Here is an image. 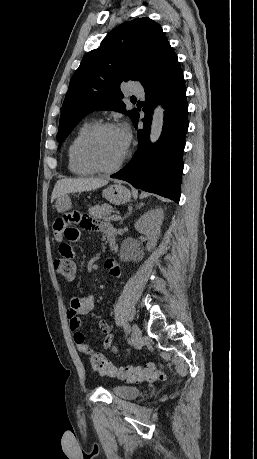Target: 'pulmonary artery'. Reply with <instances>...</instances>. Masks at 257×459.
I'll use <instances>...</instances> for the list:
<instances>
[{
	"instance_id": "pulmonary-artery-1",
	"label": "pulmonary artery",
	"mask_w": 257,
	"mask_h": 459,
	"mask_svg": "<svg viewBox=\"0 0 257 459\" xmlns=\"http://www.w3.org/2000/svg\"><path fill=\"white\" fill-rule=\"evenodd\" d=\"M131 92L135 95H138V96H143V89L142 88H135L133 87L131 89Z\"/></svg>"
}]
</instances>
